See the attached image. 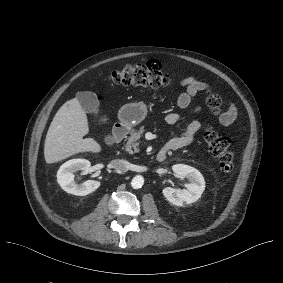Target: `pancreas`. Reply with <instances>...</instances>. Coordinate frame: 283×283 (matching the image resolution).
I'll return each instance as SVG.
<instances>
[{"mask_svg": "<svg viewBox=\"0 0 283 283\" xmlns=\"http://www.w3.org/2000/svg\"><path fill=\"white\" fill-rule=\"evenodd\" d=\"M144 131H145V129L143 127L139 128V129H133L131 131V135L128 138V141H127V145H128L127 150L130 153H134V152L138 151V142L137 141L139 140L141 135L144 133Z\"/></svg>", "mask_w": 283, "mask_h": 283, "instance_id": "cf45deb5", "label": "pancreas"}]
</instances>
